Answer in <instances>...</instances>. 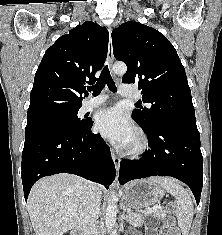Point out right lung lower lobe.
<instances>
[{"label": "right lung lower lobe", "mask_w": 222, "mask_h": 235, "mask_svg": "<svg viewBox=\"0 0 222 235\" xmlns=\"http://www.w3.org/2000/svg\"><path fill=\"white\" fill-rule=\"evenodd\" d=\"M92 125L86 119L72 131H52L25 141L21 173L25 200L38 179L57 173L76 174L108 189L115 166L108 145L91 132Z\"/></svg>", "instance_id": "1"}]
</instances>
